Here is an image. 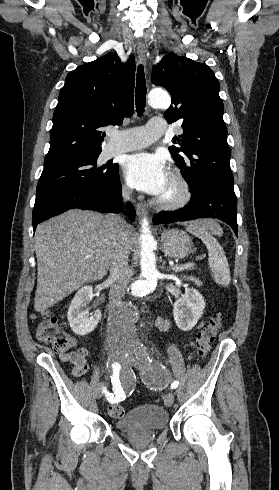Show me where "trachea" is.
Returning <instances> with one entry per match:
<instances>
[{
  "instance_id": "3493384b",
  "label": "trachea",
  "mask_w": 279,
  "mask_h": 490,
  "mask_svg": "<svg viewBox=\"0 0 279 490\" xmlns=\"http://www.w3.org/2000/svg\"><path fill=\"white\" fill-rule=\"evenodd\" d=\"M146 100V80L143 65L138 66L135 103L138 115H142Z\"/></svg>"
}]
</instances>
